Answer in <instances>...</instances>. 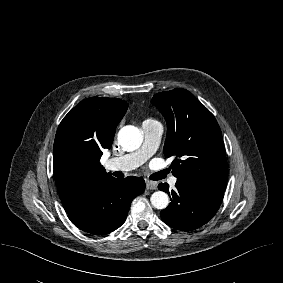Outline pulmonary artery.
I'll list each match as a JSON object with an SVG mask.
<instances>
[{
  "label": "pulmonary artery",
  "mask_w": 283,
  "mask_h": 283,
  "mask_svg": "<svg viewBox=\"0 0 283 283\" xmlns=\"http://www.w3.org/2000/svg\"><path fill=\"white\" fill-rule=\"evenodd\" d=\"M143 143L141 147L129 154L113 157L107 160L105 167L113 171H131L146 162L158 149L163 134V126L155 120H146L141 125ZM176 182L171 179V184Z\"/></svg>",
  "instance_id": "1"
}]
</instances>
